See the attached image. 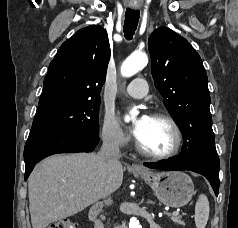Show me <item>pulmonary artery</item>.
<instances>
[{"instance_id":"e3ab8cb5","label":"pulmonary artery","mask_w":238,"mask_h":228,"mask_svg":"<svg viewBox=\"0 0 238 228\" xmlns=\"http://www.w3.org/2000/svg\"><path fill=\"white\" fill-rule=\"evenodd\" d=\"M124 92L133 98H143L147 94V82L144 78H136L128 84Z\"/></svg>"}]
</instances>
